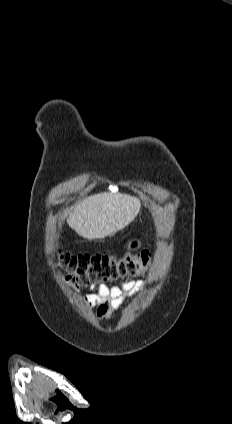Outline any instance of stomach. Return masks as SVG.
<instances>
[{"label":"stomach","instance_id":"1","mask_svg":"<svg viewBox=\"0 0 232 424\" xmlns=\"http://www.w3.org/2000/svg\"><path fill=\"white\" fill-rule=\"evenodd\" d=\"M141 245H142V243L139 239H132L124 245V248L129 250V251H134V250L139 249L141 247Z\"/></svg>","mask_w":232,"mask_h":424}]
</instances>
